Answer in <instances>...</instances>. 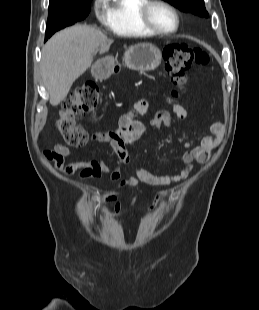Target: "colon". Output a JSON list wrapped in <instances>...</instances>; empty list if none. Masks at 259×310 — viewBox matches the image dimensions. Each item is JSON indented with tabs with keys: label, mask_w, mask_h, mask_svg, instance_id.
<instances>
[{
	"label": "colon",
	"mask_w": 259,
	"mask_h": 310,
	"mask_svg": "<svg viewBox=\"0 0 259 310\" xmlns=\"http://www.w3.org/2000/svg\"><path fill=\"white\" fill-rule=\"evenodd\" d=\"M165 70L176 86L172 96L177 98L185 83V73L195 65L206 64L207 54L188 44H172L163 50ZM100 91L96 84L88 83L76 88L63 103L57 128L64 142L71 147H80L87 142V134L77 124V119L94 111L98 106Z\"/></svg>",
	"instance_id": "obj_1"
}]
</instances>
